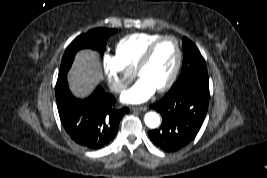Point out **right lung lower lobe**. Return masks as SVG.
Masks as SVG:
<instances>
[{
    "mask_svg": "<svg viewBox=\"0 0 267 178\" xmlns=\"http://www.w3.org/2000/svg\"><path fill=\"white\" fill-rule=\"evenodd\" d=\"M56 100L61 123L71 139L79 146L98 150L110 143L117 133L127 107L116 108L115 98L100 86L86 99L72 95L67 74L58 76Z\"/></svg>",
    "mask_w": 267,
    "mask_h": 178,
    "instance_id": "98d812e1",
    "label": "right lung lower lobe"
}]
</instances>
